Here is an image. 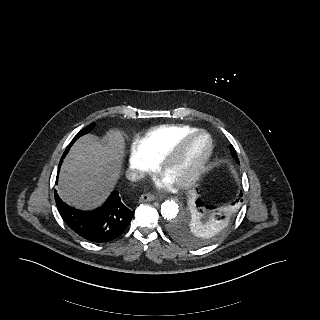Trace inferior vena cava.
I'll return each instance as SVG.
<instances>
[{
    "instance_id": "inferior-vena-cava-1",
    "label": "inferior vena cava",
    "mask_w": 320,
    "mask_h": 320,
    "mask_svg": "<svg viewBox=\"0 0 320 320\" xmlns=\"http://www.w3.org/2000/svg\"><path fill=\"white\" fill-rule=\"evenodd\" d=\"M126 177L130 181H139L144 178V173L137 170H128L126 173Z\"/></svg>"
}]
</instances>
